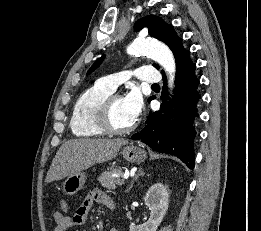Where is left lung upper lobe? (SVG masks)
<instances>
[{"mask_svg":"<svg viewBox=\"0 0 261 231\" xmlns=\"http://www.w3.org/2000/svg\"><path fill=\"white\" fill-rule=\"evenodd\" d=\"M143 27L148 28L150 36L164 42L169 46L174 54L176 65L184 56L190 54V52L183 47L182 39L176 35L173 26L167 24L162 18L155 15L145 16L135 23L134 29L135 31H139ZM102 60L103 57L98 59L89 69L88 74L95 70L100 65ZM154 66L158 67L157 64H154ZM162 73L164 74V71H162ZM153 98L154 96L150 97L148 101L150 102Z\"/></svg>","mask_w":261,"mask_h":231,"instance_id":"5c2ea615","label":"left lung upper lobe"}]
</instances>
